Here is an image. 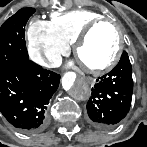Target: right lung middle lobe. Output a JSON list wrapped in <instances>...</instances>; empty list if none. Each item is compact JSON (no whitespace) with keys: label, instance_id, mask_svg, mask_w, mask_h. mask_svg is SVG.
Segmentation results:
<instances>
[{"label":"right lung middle lobe","instance_id":"dd1d6c3e","mask_svg":"<svg viewBox=\"0 0 147 147\" xmlns=\"http://www.w3.org/2000/svg\"><path fill=\"white\" fill-rule=\"evenodd\" d=\"M34 12L33 8H23L0 27V72L28 59L24 26Z\"/></svg>","mask_w":147,"mask_h":147}]
</instances>
